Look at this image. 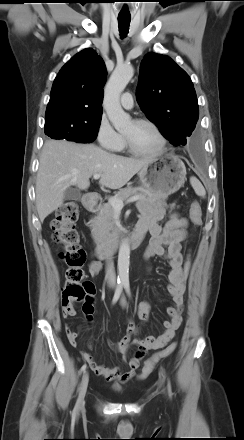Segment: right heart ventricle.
<instances>
[{"label":"right heart ventricle","instance_id":"e07e8e85","mask_svg":"<svg viewBox=\"0 0 244 440\" xmlns=\"http://www.w3.org/2000/svg\"><path fill=\"white\" fill-rule=\"evenodd\" d=\"M125 149H126V145H125L124 139L122 138V141H121L119 147L116 150L120 151V152H123V151H125Z\"/></svg>","mask_w":244,"mask_h":440}]
</instances>
